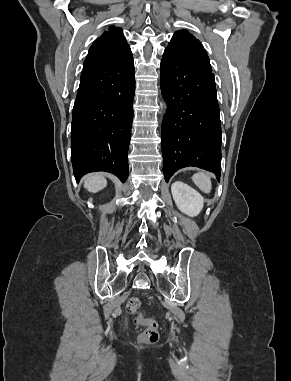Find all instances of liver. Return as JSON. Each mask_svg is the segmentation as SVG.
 <instances>
[{
  "mask_svg": "<svg viewBox=\"0 0 291 381\" xmlns=\"http://www.w3.org/2000/svg\"><path fill=\"white\" fill-rule=\"evenodd\" d=\"M106 185L107 181L101 174H89L84 181V187L92 193L104 189Z\"/></svg>",
  "mask_w": 291,
  "mask_h": 381,
  "instance_id": "obj_1",
  "label": "liver"
}]
</instances>
